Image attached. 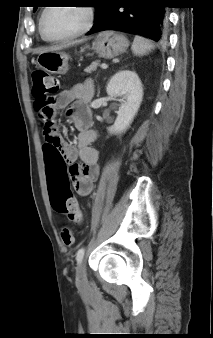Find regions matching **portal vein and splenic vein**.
Wrapping results in <instances>:
<instances>
[{"label":"portal vein and splenic vein","mask_w":213,"mask_h":338,"mask_svg":"<svg viewBox=\"0 0 213 338\" xmlns=\"http://www.w3.org/2000/svg\"><path fill=\"white\" fill-rule=\"evenodd\" d=\"M108 66H107V64H105V63H103L102 65H101V68H103V69H106Z\"/></svg>","instance_id":"obj_1"}]
</instances>
